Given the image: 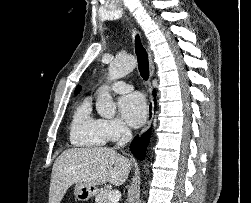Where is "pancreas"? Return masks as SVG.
<instances>
[{
	"mask_svg": "<svg viewBox=\"0 0 251 203\" xmlns=\"http://www.w3.org/2000/svg\"><path fill=\"white\" fill-rule=\"evenodd\" d=\"M111 192L110 189L104 188L99 191V193L95 197V203H112L108 199V194Z\"/></svg>",
	"mask_w": 251,
	"mask_h": 203,
	"instance_id": "obj_1",
	"label": "pancreas"
}]
</instances>
